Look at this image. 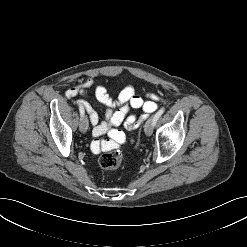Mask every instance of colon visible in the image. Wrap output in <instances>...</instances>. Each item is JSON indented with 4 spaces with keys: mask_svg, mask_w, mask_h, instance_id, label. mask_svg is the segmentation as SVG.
<instances>
[{
    "mask_svg": "<svg viewBox=\"0 0 247 247\" xmlns=\"http://www.w3.org/2000/svg\"><path fill=\"white\" fill-rule=\"evenodd\" d=\"M123 139V135L121 133H117L114 135V140L108 141L104 146L99 147L105 148L104 152L99 160V166L104 170H115L121 164V155L116 151L117 143Z\"/></svg>",
    "mask_w": 247,
    "mask_h": 247,
    "instance_id": "colon-1",
    "label": "colon"
}]
</instances>
